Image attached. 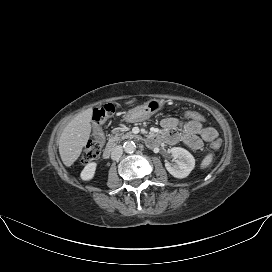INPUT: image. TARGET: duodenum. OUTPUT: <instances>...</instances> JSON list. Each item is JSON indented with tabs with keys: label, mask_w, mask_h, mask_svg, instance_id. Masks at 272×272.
<instances>
[{
	"label": "duodenum",
	"mask_w": 272,
	"mask_h": 272,
	"mask_svg": "<svg viewBox=\"0 0 272 272\" xmlns=\"http://www.w3.org/2000/svg\"><path fill=\"white\" fill-rule=\"evenodd\" d=\"M160 141V137L157 134H151L149 136L146 137V142L148 144H150L151 146L155 147L158 145ZM116 147V142L114 140H112L107 147L105 148L104 152H103V157L104 158H109L112 151L115 149Z\"/></svg>",
	"instance_id": "obj_1"
}]
</instances>
